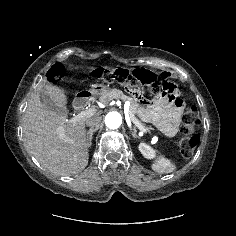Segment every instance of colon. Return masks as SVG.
<instances>
[{"instance_id":"colon-1","label":"colon","mask_w":236,"mask_h":236,"mask_svg":"<svg viewBox=\"0 0 236 236\" xmlns=\"http://www.w3.org/2000/svg\"><path fill=\"white\" fill-rule=\"evenodd\" d=\"M64 68L61 64H55L49 70L48 78L51 82H58L63 76ZM94 77L107 84L118 83L134 96L159 94L167 95L176 100L175 88L168 87L161 82L157 76L143 70H129L123 67H101L94 71ZM200 123L199 112L195 107L188 108L183 115L181 136L179 138V149L183 157H190L200 138L193 133L195 127Z\"/></svg>"}]
</instances>
